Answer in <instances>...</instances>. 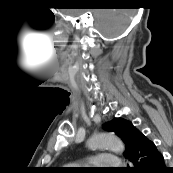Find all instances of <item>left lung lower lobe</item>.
<instances>
[{
	"label": "left lung lower lobe",
	"mask_w": 173,
	"mask_h": 173,
	"mask_svg": "<svg viewBox=\"0 0 173 173\" xmlns=\"http://www.w3.org/2000/svg\"><path fill=\"white\" fill-rule=\"evenodd\" d=\"M126 158L130 162L126 168L127 173H165L163 155L155 144L140 131Z\"/></svg>",
	"instance_id": "1"
}]
</instances>
